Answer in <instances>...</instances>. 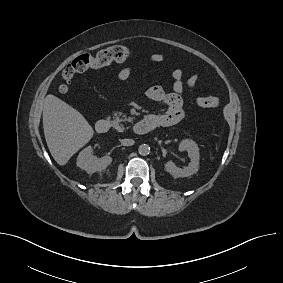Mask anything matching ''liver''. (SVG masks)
Wrapping results in <instances>:
<instances>
[{"label": "liver", "mask_w": 283, "mask_h": 283, "mask_svg": "<svg viewBox=\"0 0 283 283\" xmlns=\"http://www.w3.org/2000/svg\"><path fill=\"white\" fill-rule=\"evenodd\" d=\"M43 128L49 151L59 165H65L94 134L79 111L52 94L44 99Z\"/></svg>", "instance_id": "1"}]
</instances>
